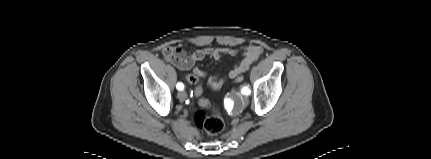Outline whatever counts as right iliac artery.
<instances>
[{
  "mask_svg": "<svg viewBox=\"0 0 431 159\" xmlns=\"http://www.w3.org/2000/svg\"><path fill=\"white\" fill-rule=\"evenodd\" d=\"M176 88L178 89V90H183L184 89V85H183V83H178L177 85H176Z\"/></svg>",
  "mask_w": 431,
  "mask_h": 159,
  "instance_id": "1",
  "label": "right iliac artery"
}]
</instances>
